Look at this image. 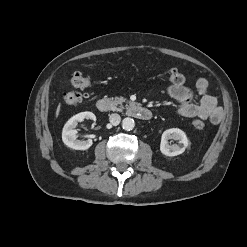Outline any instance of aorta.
<instances>
[{"label":"aorta","instance_id":"1","mask_svg":"<svg viewBox=\"0 0 247 247\" xmlns=\"http://www.w3.org/2000/svg\"><path fill=\"white\" fill-rule=\"evenodd\" d=\"M134 126H135V122H134V120L132 118L126 117V118L123 119L122 128L124 130L130 131V130H132L134 128Z\"/></svg>","mask_w":247,"mask_h":247}]
</instances>
